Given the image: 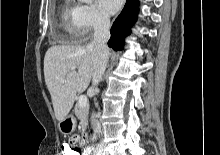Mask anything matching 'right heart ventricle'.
Wrapping results in <instances>:
<instances>
[{
	"label": "right heart ventricle",
	"instance_id": "e07e8e85",
	"mask_svg": "<svg viewBox=\"0 0 220 155\" xmlns=\"http://www.w3.org/2000/svg\"><path fill=\"white\" fill-rule=\"evenodd\" d=\"M80 6L74 0H64L61 9V20L65 31L72 38H78L81 33L78 27Z\"/></svg>",
	"mask_w": 220,
	"mask_h": 155
}]
</instances>
